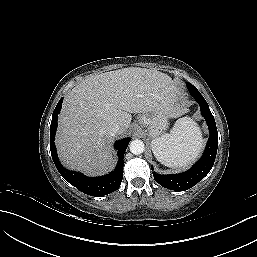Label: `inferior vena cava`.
Wrapping results in <instances>:
<instances>
[{
  "instance_id": "inferior-vena-cava-1",
  "label": "inferior vena cava",
  "mask_w": 257,
  "mask_h": 257,
  "mask_svg": "<svg viewBox=\"0 0 257 257\" xmlns=\"http://www.w3.org/2000/svg\"><path fill=\"white\" fill-rule=\"evenodd\" d=\"M120 125H118V124H115V125H113L112 127H111V129H110V133L113 135V136H115V135H117L119 132H120Z\"/></svg>"
}]
</instances>
